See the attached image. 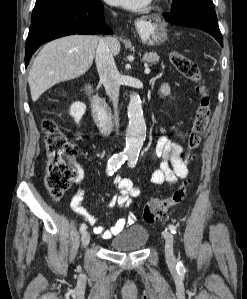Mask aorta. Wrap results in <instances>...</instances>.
Instances as JSON below:
<instances>
[{"label": "aorta", "mask_w": 247, "mask_h": 299, "mask_svg": "<svg viewBox=\"0 0 247 299\" xmlns=\"http://www.w3.org/2000/svg\"><path fill=\"white\" fill-rule=\"evenodd\" d=\"M129 123L126 129L125 152L129 156H137L146 135V123L143 116L140 96L133 93L127 107Z\"/></svg>", "instance_id": "1"}]
</instances>
